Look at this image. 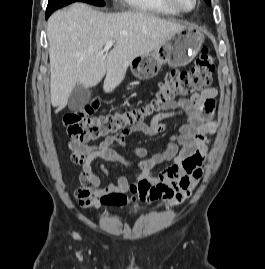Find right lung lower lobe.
<instances>
[{"label":"right lung lower lobe","instance_id":"1","mask_svg":"<svg viewBox=\"0 0 265 269\" xmlns=\"http://www.w3.org/2000/svg\"><path fill=\"white\" fill-rule=\"evenodd\" d=\"M76 1H58V2H52L48 3L47 9H46V19L51 15L52 12L55 10L64 7L70 3H73Z\"/></svg>","mask_w":265,"mask_h":269}]
</instances>
